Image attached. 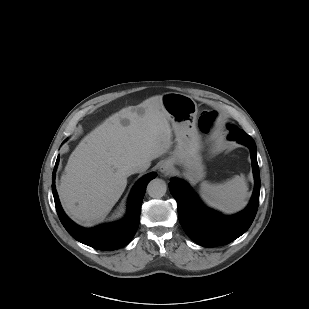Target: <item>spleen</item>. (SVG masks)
<instances>
[{
  "label": "spleen",
  "instance_id": "3e777b00",
  "mask_svg": "<svg viewBox=\"0 0 309 309\" xmlns=\"http://www.w3.org/2000/svg\"><path fill=\"white\" fill-rule=\"evenodd\" d=\"M200 195L208 206L233 213L246 205L248 186L243 176H235L221 184L201 183Z\"/></svg>",
  "mask_w": 309,
  "mask_h": 309
}]
</instances>
